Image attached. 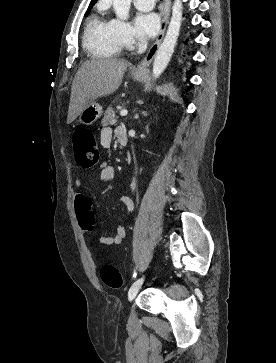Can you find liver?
I'll list each match as a JSON object with an SVG mask.
<instances>
[{"label":"liver","instance_id":"1","mask_svg":"<svg viewBox=\"0 0 276 363\" xmlns=\"http://www.w3.org/2000/svg\"><path fill=\"white\" fill-rule=\"evenodd\" d=\"M129 65L116 58L85 61L72 83L67 123L73 122L89 103L114 93Z\"/></svg>","mask_w":276,"mask_h":363}]
</instances>
